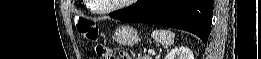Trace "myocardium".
<instances>
[{"label":"myocardium","instance_id":"1","mask_svg":"<svg viewBox=\"0 0 261 59\" xmlns=\"http://www.w3.org/2000/svg\"><path fill=\"white\" fill-rule=\"evenodd\" d=\"M125 1V0H124ZM94 2V1H92ZM130 1L126 0L125 2L123 3H120V4H117L115 6H112V7H109V8H105V9H102V8H94V10L100 14H109V13H112L114 11H117L123 7L126 6V3H128Z\"/></svg>","mask_w":261,"mask_h":59}]
</instances>
